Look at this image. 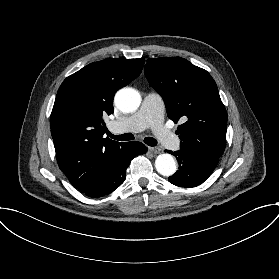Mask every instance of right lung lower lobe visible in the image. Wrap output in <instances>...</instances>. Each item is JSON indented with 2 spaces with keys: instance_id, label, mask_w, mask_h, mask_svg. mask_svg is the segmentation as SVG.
<instances>
[{
  "instance_id": "1",
  "label": "right lung lower lobe",
  "mask_w": 279,
  "mask_h": 279,
  "mask_svg": "<svg viewBox=\"0 0 279 279\" xmlns=\"http://www.w3.org/2000/svg\"><path fill=\"white\" fill-rule=\"evenodd\" d=\"M123 153L108 173L90 190L84 192L88 197L97 198L107 195L117 189L126 178V168L130 161L138 154H144L147 147L140 142L125 145Z\"/></svg>"
}]
</instances>
